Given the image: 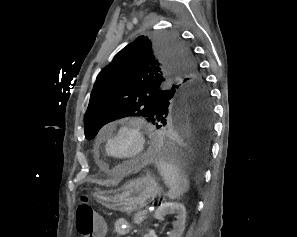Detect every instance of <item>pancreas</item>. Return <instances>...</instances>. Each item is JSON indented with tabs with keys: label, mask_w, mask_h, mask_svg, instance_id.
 Returning a JSON list of instances; mask_svg holds the SVG:
<instances>
[{
	"label": "pancreas",
	"mask_w": 297,
	"mask_h": 237,
	"mask_svg": "<svg viewBox=\"0 0 297 237\" xmlns=\"http://www.w3.org/2000/svg\"><path fill=\"white\" fill-rule=\"evenodd\" d=\"M145 219H146V214H144L143 212L140 211L134 215L133 222L135 224L140 225Z\"/></svg>",
	"instance_id": "pancreas-1"
}]
</instances>
